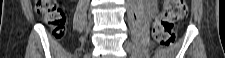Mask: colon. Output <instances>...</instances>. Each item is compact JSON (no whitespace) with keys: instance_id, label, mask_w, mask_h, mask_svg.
<instances>
[{"instance_id":"5ec220e1","label":"colon","mask_w":225,"mask_h":58,"mask_svg":"<svg viewBox=\"0 0 225 58\" xmlns=\"http://www.w3.org/2000/svg\"><path fill=\"white\" fill-rule=\"evenodd\" d=\"M36 11L50 27L52 34L60 38L66 25L65 9L57 0H40L36 2ZM189 13L186 0H167L163 11L153 23V38L163 47L171 46L176 40L178 23Z\"/></svg>"}]
</instances>
